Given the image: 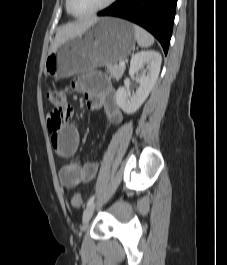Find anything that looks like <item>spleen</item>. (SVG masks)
I'll return each mask as SVG.
<instances>
[{
  "label": "spleen",
  "instance_id": "3e777b00",
  "mask_svg": "<svg viewBox=\"0 0 227 265\" xmlns=\"http://www.w3.org/2000/svg\"><path fill=\"white\" fill-rule=\"evenodd\" d=\"M135 37L140 47H149L154 43L153 36L138 25H133Z\"/></svg>",
  "mask_w": 227,
  "mask_h": 265
}]
</instances>
